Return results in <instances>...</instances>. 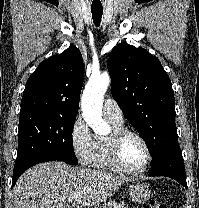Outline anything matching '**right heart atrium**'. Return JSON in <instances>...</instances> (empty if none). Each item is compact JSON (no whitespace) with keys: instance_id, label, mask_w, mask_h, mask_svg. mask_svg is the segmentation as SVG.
<instances>
[{"instance_id":"right-heart-atrium-1","label":"right heart atrium","mask_w":199,"mask_h":208,"mask_svg":"<svg viewBox=\"0 0 199 208\" xmlns=\"http://www.w3.org/2000/svg\"><path fill=\"white\" fill-rule=\"evenodd\" d=\"M70 143L78 161L84 165L92 164L95 141L87 123L81 116H77L70 128Z\"/></svg>"}]
</instances>
